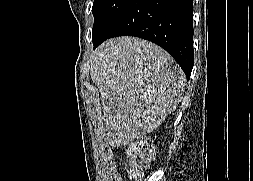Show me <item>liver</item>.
<instances>
[{
  "label": "liver",
  "instance_id": "obj_1",
  "mask_svg": "<svg viewBox=\"0 0 253 181\" xmlns=\"http://www.w3.org/2000/svg\"><path fill=\"white\" fill-rule=\"evenodd\" d=\"M101 96L100 129L112 146L153 132L179 103L185 77L161 47L129 36L110 39L89 57Z\"/></svg>",
  "mask_w": 253,
  "mask_h": 181
}]
</instances>
